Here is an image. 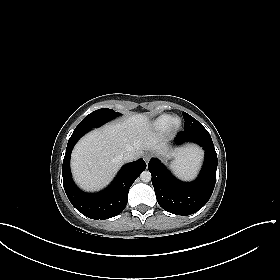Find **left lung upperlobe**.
Segmentation results:
<instances>
[{
    "label": "left lung upper lobe",
    "instance_id": "1",
    "mask_svg": "<svg viewBox=\"0 0 280 280\" xmlns=\"http://www.w3.org/2000/svg\"><path fill=\"white\" fill-rule=\"evenodd\" d=\"M183 118L185 120L184 131L206 130L200 122L186 112H183Z\"/></svg>",
    "mask_w": 280,
    "mask_h": 280
}]
</instances>
